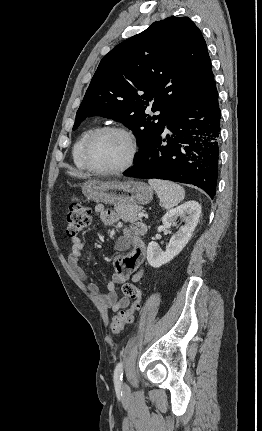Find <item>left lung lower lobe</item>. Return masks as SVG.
Returning a JSON list of instances; mask_svg holds the SVG:
<instances>
[{
	"instance_id": "0a47b994",
	"label": "left lung lower lobe",
	"mask_w": 262,
	"mask_h": 431,
	"mask_svg": "<svg viewBox=\"0 0 262 431\" xmlns=\"http://www.w3.org/2000/svg\"><path fill=\"white\" fill-rule=\"evenodd\" d=\"M220 108L216 83L184 105L167 123L172 134L161 136L140 154L123 175L195 185L216 194Z\"/></svg>"
}]
</instances>
